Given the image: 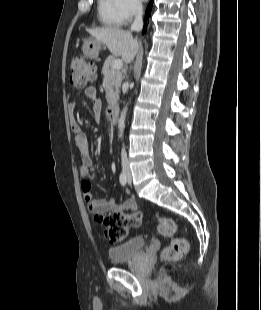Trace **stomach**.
Wrapping results in <instances>:
<instances>
[{
	"label": "stomach",
	"mask_w": 261,
	"mask_h": 310,
	"mask_svg": "<svg viewBox=\"0 0 261 310\" xmlns=\"http://www.w3.org/2000/svg\"><path fill=\"white\" fill-rule=\"evenodd\" d=\"M101 48H102V42L94 38H89L84 41L82 51L86 58L96 59L98 57Z\"/></svg>",
	"instance_id": "1"
}]
</instances>
